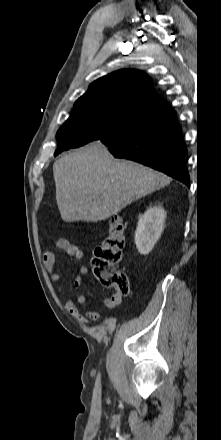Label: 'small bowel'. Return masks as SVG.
Masks as SVG:
<instances>
[{
	"label": "small bowel",
	"instance_id": "obj_1",
	"mask_svg": "<svg viewBox=\"0 0 221 440\" xmlns=\"http://www.w3.org/2000/svg\"><path fill=\"white\" fill-rule=\"evenodd\" d=\"M54 246L65 252L68 256L73 258L76 261H81L84 257L83 251L76 246L75 244L71 243L70 241L66 239H59L54 242ZM42 259L43 263L47 269V271L50 273L52 279L54 281H58L60 276L55 272V266H56V256L51 250H44L42 253ZM80 275L77 276L73 282L74 287L79 288L83 284V276L87 275L89 270L86 266H81L79 269ZM122 300L121 296L116 295L115 293H112L110 296L105 297L102 300V305L106 307L109 310L114 309L117 305L120 304ZM86 303V295L85 294H79L77 296L76 302H73L71 300L67 301L64 304V308L74 317L78 318L80 321L84 323H88L89 321H97L102 318V314L98 311L94 310H87L85 312V315L83 316L80 313V309L85 305Z\"/></svg>",
	"mask_w": 221,
	"mask_h": 440
}]
</instances>
